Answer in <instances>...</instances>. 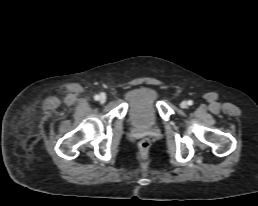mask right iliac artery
Wrapping results in <instances>:
<instances>
[{
  "instance_id": "1",
  "label": "right iliac artery",
  "mask_w": 258,
  "mask_h": 206,
  "mask_svg": "<svg viewBox=\"0 0 258 206\" xmlns=\"http://www.w3.org/2000/svg\"><path fill=\"white\" fill-rule=\"evenodd\" d=\"M94 99L97 101V100H99V95H95L94 96Z\"/></svg>"
}]
</instances>
